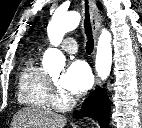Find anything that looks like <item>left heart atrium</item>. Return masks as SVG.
Segmentation results:
<instances>
[{
	"label": "left heart atrium",
	"instance_id": "obj_1",
	"mask_svg": "<svg viewBox=\"0 0 142 128\" xmlns=\"http://www.w3.org/2000/svg\"><path fill=\"white\" fill-rule=\"evenodd\" d=\"M59 83L67 94L81 95L91 86L92 74L85 62L75 60L68 65Z\"/></svg>",
	"mask_w": 142,
	"mask_h": 128
}]
</instances>
